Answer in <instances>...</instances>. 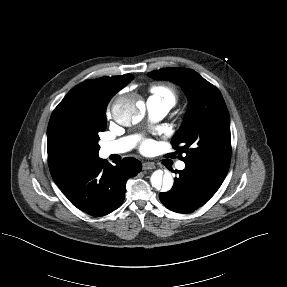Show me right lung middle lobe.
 I'll return each instance as SVG.
<instances>
[{
	"label": "right lung middle lobe",
	"instance_id": "1",
	"mask_svg": "<svg viewBox=\"0 0 287 287\" xmlns=\"http://www.w3.org/2000/svg\"><path fill=\"white\" fill-rule=\"evenodd\" d=\"M106 110L98 103L85 104L78 110L66 131V145L82 156H98L99 132L106 129Z\"/></svg>",
	"mask_w": 287,
	"mask_h": 287
}]
</instances>
